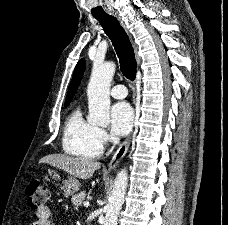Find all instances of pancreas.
<instances>
[{
	"mask_svg": "<svg viewBox=\"0 0 228 225\" xmlns=\"http://www.w3.org/2000/svg\"><path fill=\"white\" fill-rule=\"evenodd\" d=\"M86 197L85 191H81V193H78V195H73L71 201L73 205H77V207H80L82 203H84Z\"/></svg>",
	"mask_w": 228,
	"mask_h": 225,
	"instance_id": "pancreas-1",
	"label": "pancreas"
}]
</instances>
